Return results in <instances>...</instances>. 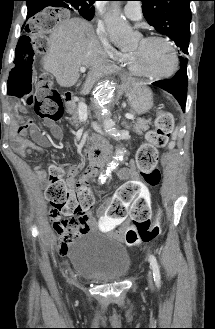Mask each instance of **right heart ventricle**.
I'll return each instance as SVG.
<instances>
[{
    "label": "right heart ventricle",
    "mask_w": 215,
    "mask_h": 329,
    "mask_svg": "<svg viewBox=\"0 0 215 329\" xmlns=\"http://www.w3.org/2000/svg\"><path fill=\"white\" fill-rule=\"evenodd\" d=\"M130 56H131V53H123V54H122V57H121L120 60L125 64V66H126V67H127L132 73L136 74L135 71H134V69H133V67H132Z\"/></svg>",
    "instance_id": "obj_1"
}]
</instances>
